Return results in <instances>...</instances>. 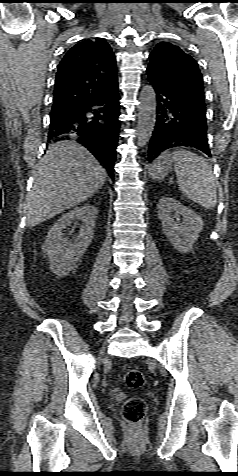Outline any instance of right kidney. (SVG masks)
<instances>
[{
    "label": "right kidney",
    "mask_w": 238,
    "mask_h": 476,
    "mask_svg": "<svg viewBox=\"0 0 238 476\" xmlns=\"http://www.w3.org/2000/svg\"><path fill=\"white\" fill-rule=\"evenodd\" d=\"M98 210L93 205H83L64 214L49 230L43 251L48 256L50 269L57 277L66 276L87 250L94 236ZM82 222L74 242L64 237L63 231L72 221Z\"/></svg>",
    "instance_id": "1"
}]
</instances>
